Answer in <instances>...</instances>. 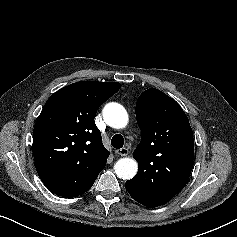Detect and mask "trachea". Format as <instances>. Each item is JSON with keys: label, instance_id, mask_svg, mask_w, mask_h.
I'll list each match as a JSON object with an SVG mask.
<instances>
[{"label": "trachea", "instance_id": "trachea-1", "mask_svg": "<svg viewBox=\"0 0 237 237\" xmlns=\"http://www.w3.org/2000/svg\"><path fill=\"white\" fill-rule=\"evenodd\" d=\"M111 145L116 148V149H120L123 147L124 145V138L122 135L120 134H116L112 137L111 139Z\"/></svg>", "mask_w": 237, "mask_h": 237}]
</instances>
